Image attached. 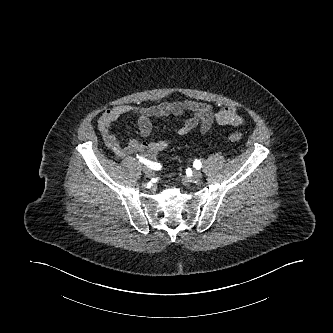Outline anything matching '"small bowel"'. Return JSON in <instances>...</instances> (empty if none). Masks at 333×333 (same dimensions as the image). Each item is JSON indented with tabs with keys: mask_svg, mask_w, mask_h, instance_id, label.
Here are the masks:
<instances>
[{
	"mask_svg": "<svg viewBox=\"0 0 333 333\" xmlns=\"http://www.w3.org/2000/svg\"><path fill=\"white\" fill-rule=\"evenodd\" d=\"M132 116L138 125L140 135L143 138L150 136L152 132V120L169 115L182 116L188 114L177 133L185 136L195 129L201 134L209 131L214 122L221 125L239 126L243 123L242 118L234 109H225L215 113L207 104L184 100L164 101L157 105L139 107L130 104L117 105L107 109L97 121L98 130L106 146L120 159L141 154L147 158H153L157 154L169 148L170 140L146 141L130 139L122 144L113 133V124L124 115Z\"/></svg>",
	"mask_w": 333,
	"mask_h": 333,
	"instance_id": "small-bowel-1",
	"label": "small bowel"
}]
</instances>
